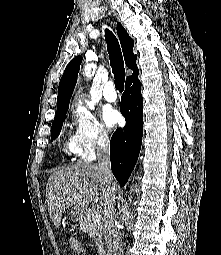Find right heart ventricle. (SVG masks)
<instances>
[{
	"label": "right heart ventricle",
	"mask_w": 221,
	"mask_h": 255,
	"mask_svg": "<svg viewBox=\"0 0 221 255\" xmlns=\"http://www.w3.org/2000/svg\"><path fill=\"white\" fill-rule=\"evenodd\" d=\"M63 150L68 155H81V149L75 139V137H68L63 146Z\"/></svg>",
	"instance_id": "e07e8e85"
}]
</instances>
